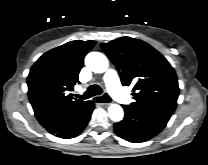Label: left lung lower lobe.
<instances>
[{
	"label": "left lung lower lobe",
	"instance_id": "obj_1",
	"mask_svg": "<svg viewBox=\"0 0 208 165\" xmlns=\"http://www.w3.org/2000/svg\"><path fill=\"white\" fill-rule=\"evenodd\" d=\"M125 116L114 124L116 134L133 143L147 141L157 135L167 124L172 114L139 110L131 105H123Z\"/></svg>",
	"mask_w": 208,
	"mask_h": 165
}]
</instances>
